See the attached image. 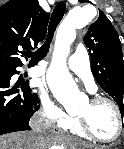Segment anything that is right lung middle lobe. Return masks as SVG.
<instances>
[{
    "label": "right lung middle lobe",
    "mask_w": 124,
    "mask_h": 149,
    "mask_svg": "<svg viewBox=\"0 0 124 149\" xmlns=\"http://www.w3.org/2000/svg\"><path fill=\"white\" fill-rule=\"evenodd\" d=\"M1 69H10V70L13 71V72H17V71L15 70V68H1Z\"/></svg>",
    "instance_id": "1"
}]
</instances>
